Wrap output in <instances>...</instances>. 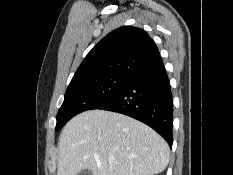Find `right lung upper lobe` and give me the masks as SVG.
<instances>
[{"label": "right lung upper lobe", "mask_w": 233, "mask_h": 175, "mask_svg": "<svg viewBox=\"0 0 233 175\" xmlns=\"http://www.w3.org/2000/svg\"><path fill=\"white\" fill-rule=\"evenodd\" d=\"M160 60L157 46L144 30L123 26L93 47L70 83L106 74L134 76Z\"/></svg>", "instance_id": "right-lung-upper-lobe-1"}]
</instances>
